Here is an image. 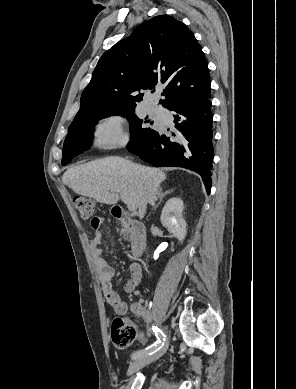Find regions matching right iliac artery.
I'll return each instance as SVG.
<instances>
[{
	"label": "right iliac artery",
	"mask_w": 296,
	"mask_h": 389,
	"mask_svg": "<svg viewBox=\"0 0 296 389\" xmlns=\"http://www.w3.org/2000/svg\"><path fill=\"white\" fill-rule=\"evenodd\" d=\"M153 331H154L158 340L153 345L147 347L146 349H143V350H140V351L134 353L132 355V359H136V358L146 356V355H151L154 352L158 351L160 348H162V346L164 345V342L166 341L165 334L158 327H155V326H153Z\"/></svg>",
	"instance_id": "82829eb1"
}]
</instances>
